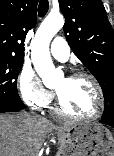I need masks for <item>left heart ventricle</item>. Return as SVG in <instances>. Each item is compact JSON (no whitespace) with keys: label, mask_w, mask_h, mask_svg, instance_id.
<instances>
[{"label":"left heart ventricle","mask_w":114,"mask_h":156,"mask_svg":"<svg viewBox=\"0 0 114 156\" xmlns=\"http://www.w3.org/2000/svg\"><path fill=\"white\" fill-rule=\"evenodd\" d=\"M64 110L74 116H89L97 109V95L92 82L84 77L61 78L55 85Z\"/></svg>","instance_id":"1"}]
</instances>
